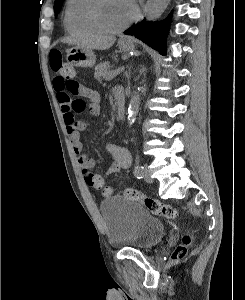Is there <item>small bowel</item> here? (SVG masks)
<instances>
[{"instance_id":"1","label":"small bowel","mask_w":245,"mask_h":300,"mask_svg":"<svg viewBox=\"0 0 245 300\" xmlns=\"http://www.w3.org/2000/svg\"><path fill=\"white\" fill-rule=\"evenodd\" d=\"M53 87L63 114V120L66 126L68 138L77 156L78 163L82 168L85 181L88 184L89 176L97 175L93 173L95 160L86 151L80 139V134L82 131L87 129L88 123L86 120L78 119L76 115L83 111H86L92 116L98 115L100 112V95L95 90L87 88L78 82H76L75 89L70 91L67 87V83L59 76L54 78ZM71 95L88 99V103L85 102L86 106L82 111H77L73 108V101L75 99L72 100ZM105 148L106 151L112 156L113 160L106 173V176L98 175L103 181H105L106 177L114 176L127 169L131 165V155L125 147L114 143H107Z\"/></svg>"}]
</instances>
